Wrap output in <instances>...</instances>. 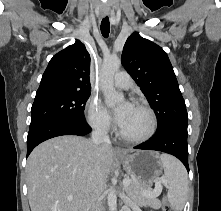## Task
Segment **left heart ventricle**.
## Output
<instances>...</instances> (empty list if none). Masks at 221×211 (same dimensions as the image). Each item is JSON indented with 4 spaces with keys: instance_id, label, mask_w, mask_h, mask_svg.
Returning <instances> with one entry per match:
<instances>
[{
    "instance_id": "obj_1",
    "label": "left heart ventricle",
    "mask_w": 221,
    "mask_h": 211,
    "mask_svg": "<svg viewBox=\"0 0 221 211\" xmlns=\"http://www.w3.org/2000/svg\"><path fill=\"white\" fill-rule=\"evenodd\" d=\"M150 127V118L145 110L131 104L126 115L119 125L121 131L130 137H140L147 133Z\"/></svg>"
}]
</instances>
